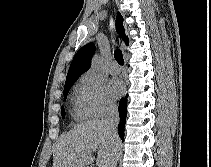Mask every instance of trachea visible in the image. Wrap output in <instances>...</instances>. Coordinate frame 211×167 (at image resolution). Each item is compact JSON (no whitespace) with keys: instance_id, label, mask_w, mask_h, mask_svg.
I'll return each mask as SVG.
<instances>
[{"instance_id":"obj_1","label":"trachea","mask_w":211,"mask_h":167,"mask_svg":"<svg viewBox=\"0 0 211 167\" xmlns=\"http://www.w3.org/2000/svg\"><path fill=\"white\" fill-rule=\"evenodd\" d=\"M114 57L116 59V61L120 64V65H124V59H123V54L122 51L119 49H116L114 51Z\"/></svg>"}]
</instances>
